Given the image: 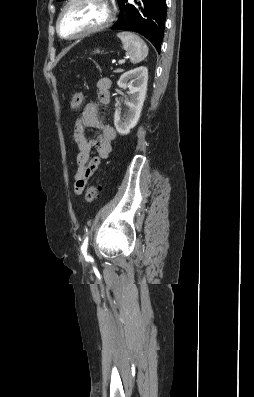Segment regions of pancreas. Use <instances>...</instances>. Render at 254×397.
Listing matches in <instances>:
<instances>
[{
	"instance_id": "obj_1",
	"label": "pancreas",
	"mask_w": 254,
	"mask_h": 397,
	"mask_svg": "<svg viewBox=\"0 0 254 397\" xmlns=\"http://www.w3.org/2000/svg\"><path fill=\"white\" fill-rule=\"evenodd\" d=\"M123 71V69H116L114 72L115 73H120V72H122Z\"/></svg>"
}]
</instances>
